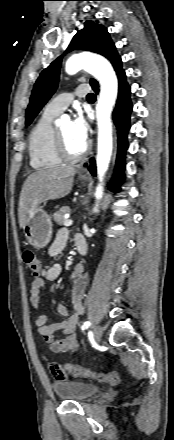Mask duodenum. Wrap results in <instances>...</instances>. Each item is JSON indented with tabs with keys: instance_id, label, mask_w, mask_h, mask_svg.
I'll use <instances>...</instances> for the list:
<instances>
[{
	"instance_id": "1",
	"label": "duodenum",
	"mask_w": 174,
	"mask_h": 440,
	"mask_svg": "<svg viewBox=\"0 0 174 440\" xmlns=\"http://www.w3.org/2000/svg\"><path fill=\"white\" fill-rule=\"evenodd\" d=\"M77 236H79V237L75 241L76 249L81 255H86V253H87L86 241L83 236H81V235H77Z\"/></svg>"
}]
</instances>
